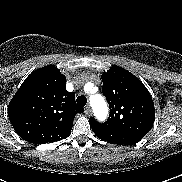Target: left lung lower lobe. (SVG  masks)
<instances>
[{"mask_svg": "<svg viewBox=\"0 0 182 182\" xmlns=\"http://www.w3.org/2000/svg\"><path fill=\"white\" fill-rule=\"evenodd\" d=\"M91 127L93 132L99 139L103 141L111 142L117 145H133L141 140L126 134L106 130L100 127H96V126H91Z\"/></svg>", "mask_w": 182, "mask_h": 182, "instance_id": "1", "label": "left lung lower lobe"}]
</instances>
